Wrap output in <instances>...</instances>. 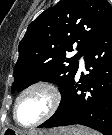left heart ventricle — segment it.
<instances>
[{
  "label": "left heart ventricle",
  "mask_w": 112,
  "mask_h": 135,
  "mask_svg": "<svg viewBox=\"0 0 112 135\" xmlns=\"http://www.w3.org/2000/svg\"><path fill=\"white\" fill-rule=\"evenodd\" d=\"M51 106L50 94L44 89L26 93L20 100L17 116L21 123L32 124L42 118Z\"/></svg>",
  "instance_id": "obj_1"
}]
</instances>
